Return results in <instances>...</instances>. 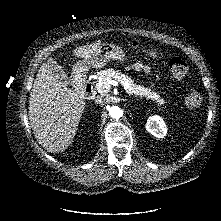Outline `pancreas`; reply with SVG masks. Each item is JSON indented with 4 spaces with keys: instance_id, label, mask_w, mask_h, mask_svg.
<instances>
[{
    "instance_id": "1",
    "label": "pancreas",
    "mask_w": 221,
    "mask_h": 221,
    "mask_svg": "<svg viewBox=\"0 0 221 221\" xmlns=\"http://www.w3.org/2000/svg\"><path fill=\"white\" fill-rule=\"evenodd\" d=\"M97 78L96 88L101 94L109 92V89L105 88L104 83L107 80L115 79L124 86L128 94H134L140 98L145 97L147 100H151L159 106H163L165 103L159 93L151 90L150 88H144L138 84H134V81L130 77L113 69L98 72Z\"/></svg>"
}]
</instances>
